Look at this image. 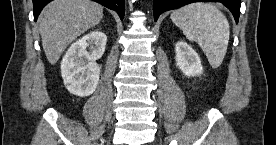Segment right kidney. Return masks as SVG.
Listing matches in <instances>:
<instances>
[{
    "label": "right kidney",
    "instance_id": "obj_1",
    "mask_svg": "<svg viewBox=\"0 0 276 145\" xmlns=\"http://www.w3.org/2000/svg\"><path fill=\"white\" fill-rule=\"evenodd\" d=\"M107 36L94 30L73 43L61 62V75L67 90L87 97L97 88L100 66L96 63L105 52Z\"/></svg>",
    "mask_w": 276,
    "mask_h": 145
}]
</instances>
